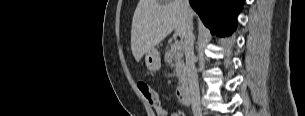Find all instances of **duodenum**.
<instances>
[{"label": "duodenum", "mask_w": 305, "mask_h": 116, "mask_svg": "<svg viewBox=\"0 0 305 116\" xmlns=\"http://www.w3.org/2000/svg\"><path fill=\"white\" fill-rule=\"evenodd\" d=\"M179 100L183 105H188L191 102L190 90L187 84H182L178 89Z\"/></svg>", "instance_id": "duodenum-1"}]
</instances>
